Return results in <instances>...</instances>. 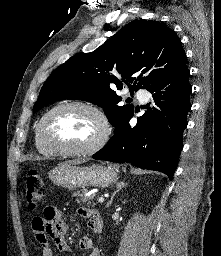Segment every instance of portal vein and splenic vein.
<instances>
[{"instance_id":"obj_1","label":"portal vein and splenic vein","mask_w":221,"mask_h":256,"mask_svg":"<svg viewBox=\"0 0 221 256\" xmlns=\"http://www.w3.org/2000/svg\"><path fill=\"white\" fill-rule=\"evenodd\" d=\"M97 201H98V203H103L104 202V198L103 197H98Z\"/></svg>"}]
</instances>
